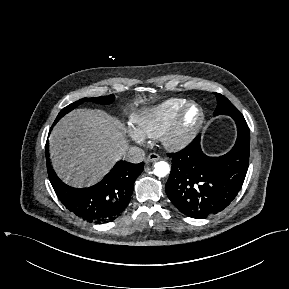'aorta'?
<instances>
[{
  "label": "aorta",
  "instance_id": "aorta-1",
  "mask_svg": "<svg viewBox=\"0 0 289 289\" xmlns=\"http://www.w3.org/2000/svg\"><path fill=\"white\" fill-rule=\"evenodd\" d=\"M153 172L158 177H165L170 172V167L167 162L159 161L154 164Z\"/></svg>",
  "mask_w": 289,
  "mask_h": 289
}]
</instances>
